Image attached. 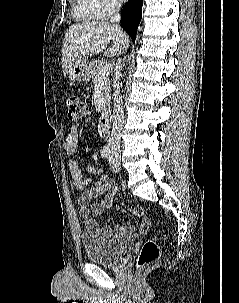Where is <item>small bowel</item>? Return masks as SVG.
Returning a JSON list of instances; mask_svg holds the SVG:
<instances>
[{
	"mask_svg": "<svg viewBox=\"0 0 239 303\" xmlns=\"http://www.w3.org/2000/svg\"><path fill=\"white\" fill-rule=\"evenodd\" d=\"M80 144V137L78 132V126L74 125L70 128L69 132L66 134L64 146L68 160V169L70 176L73 180L74 186L83 191L82 195L79 197L78 203L80 205L79 215L85 226L88 236H105L110 237L114 234H127L135 231L137 227L132 223H127L125 227L116 226L111 228L109 226L100 227L97 220L91 216V212L99 215L104 209L113 206L112 194L116 190V185L108 179L99 182L96 185L91 186L92 179L85 178L82 175V170L78 162L74 159L77 154ZM85 171L92 175L102 174V170L96 166L88 165L85 167ZM104 192L109 194L100 199ZM148 224L143 222L140 226L141 229H146Z\"/></svg>",
	"mask_w": 239,
	"mask_h": 303,
	"instance_id": "obj_1",
	"label": "small bowel"
}]
</instances>
